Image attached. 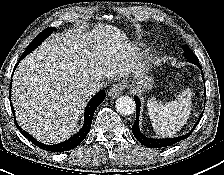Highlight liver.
Listing matches in <instances>:
<instances>
[{
    "label": "liver",
    "instance_id": "6515ba94",
    "mask_svg": "<svg viewBox=\"0 0 224 175\" xmlns=\"http://www.w3.org/2000/svg\"><path fill=\"white\" fill-rule=\"evenodd\" d=\"M135 47L118 28L54 34L14 72L12 104L19 125L37 140L58 143L76 128L86 85L140 74Z\"/></svg>",
    "mask_w": 224,
    "mask_h": 175
}]
</instances>
